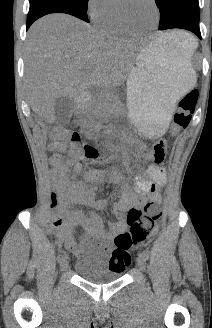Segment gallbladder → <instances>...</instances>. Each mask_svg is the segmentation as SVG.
Wrapping results in <instances>:
<instances>
[{"instance_id":"bac80fb5","label":"gallbladder","mask_w":212,"mask_h":328,"mask_svg":"<svg viewBox=\"0 0 212 328\" xmlns=\"http://www.w3.org/2000/svg\"><path fill=\"white\" fill-rule=\"evenodd\" d=\"M74 101L68 97H59L54 102L55 123L67 124L72 116Z\"/></svg>"}]
</instances>
